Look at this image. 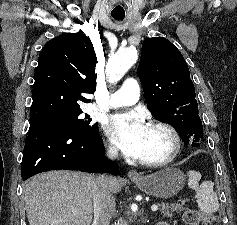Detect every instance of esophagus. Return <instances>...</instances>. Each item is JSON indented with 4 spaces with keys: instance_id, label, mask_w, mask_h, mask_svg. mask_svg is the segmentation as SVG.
I'll use <instances>...</instances> for the list:
<instances>
[{
    "instance_id": "1",
    "label": "esophagus",
    "mask_w": 237,
    "mask_h": 225,
    "mask_svg": "<svg viewBox=\"0 0 237 225\" xmlns=\"http://www.w3.org/2000/svg\"><path fill=\"white\" fill-rule=\"evenodd\" d=\"M128 176H129L130 178H137V177H139V174H138L137 171H135V170H130V171L128 172Z\"/></svg>"
}]
</instances>
